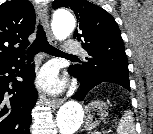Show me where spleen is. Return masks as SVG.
Instances as JSON below:
<instances>
[{
	"mask_svg": "<svg viewBox=\"0 0 153 134\" xmlns=\"http://www.w3.org/2000/svg\"><path fill=\"white\" fill-rule=\"evenodd\" d=\"M117 134H135L134 118L131 111H126L119 120Z\"/></svg>",
	"mask_w": 153,
	"mask_h": 134,
	"instance_id": "spleen-1",
	"label": "spleen"
}]
</instances>
